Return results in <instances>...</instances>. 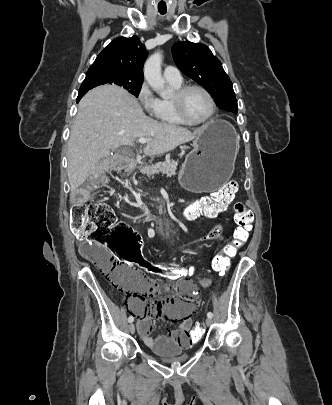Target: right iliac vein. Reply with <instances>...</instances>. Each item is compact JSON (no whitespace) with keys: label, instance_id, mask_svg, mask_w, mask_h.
<instances>
[{"label":"right iliac vein","instance_id":"right-iliac-vein-1","mask_svg":"<svg viewBox=\"0 0 332 405\" xmlns=\"http://www.w3.org/2000/svg\"><path fill=\"white\" fill-rule=\"evenodd\" d=\"M128 330H129V332L131 333V334H134V332H135V326H134V324H130L129 326H128Z\"/></svg>","mask_w":332,"mask_h":405}]
</instances>
